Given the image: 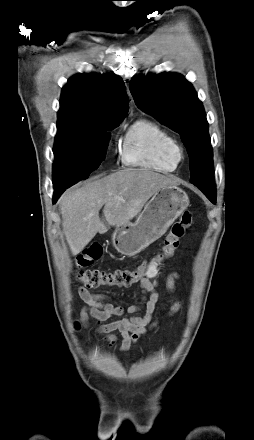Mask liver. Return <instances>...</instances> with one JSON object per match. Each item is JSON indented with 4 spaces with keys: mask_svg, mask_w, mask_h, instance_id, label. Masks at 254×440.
Instances as JSON below:
<instances>
[{
    "mask_svg": "<svg viewBox=\"0 0 254 440\" xmlns=\"http://www.w3.org/2000/svg\"><path fill=\"white\" fill-rule=\"evenodd\" d=\"M167 185H176V181L148 169L128 168L66 191L60 198V210L72 255L80 253L98 232L105 233L108 226L130 222L156 191Z\"/></svg>",
    "mask_w": 254,
    "mask_h": 440,
    "instance_id": "obj_1",
    "label": "liver"
}]
</instances>
